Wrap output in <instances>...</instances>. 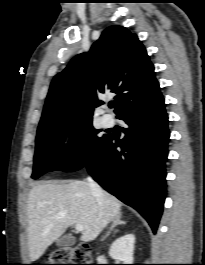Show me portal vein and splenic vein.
<instances>
[{
  "label": "portal vein and splenic vein",
  "instance_id": "portal-vein-and-splenic-vein-1",
  "mask_svg": "<svg viewBox=\"0 0 205 265\" xmlns=\"http://www.w3.org/2000/svg\"><path fill=\"white\" fill-rule=\"evenodd\" d=\"M75 229H76V231H79V232H80V231H83L84 228H83V225H81V224H76V225H75Z\"/></svg>",
  "mask_w": 205,
  "mask_h": 265
}]
</instances>
